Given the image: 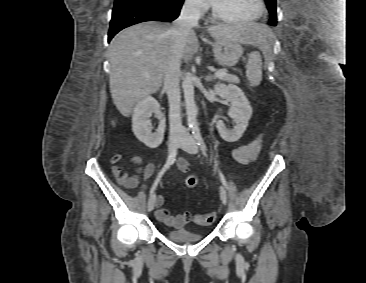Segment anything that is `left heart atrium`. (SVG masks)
<instances>
[{"instance_id": "1", "label": "left heart atrium", "mask_w": 366, "mask_h": 283, "mask_svg": "<svg viewBox=\"0 0 366 283\" xmlns=\"http://www.w3.org/2000/svg\"><path fill=\"white\" fill-rule=\"evenodd\" d=\"M208 1H211V2H213L214 0H208Z\"/></svg>"}]
</instances>
